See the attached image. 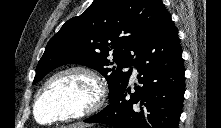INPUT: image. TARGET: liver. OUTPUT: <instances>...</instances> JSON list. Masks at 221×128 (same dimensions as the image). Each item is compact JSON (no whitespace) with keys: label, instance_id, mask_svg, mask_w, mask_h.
Here are the masks:
<instances>
[{"label":"liver","instance_id":"1","mask_svg":"<svg viewBox=\"0 0 221 128\" xmlns=\"http://www.w3.org/2000/svg\"><path fill=\"white\" fill-rule=\"evenodd\" d=\"M72 128H85V125L75 124V125H72Z\"/></svg>","mask_w":221,"mask_h":128}]
</instances>
